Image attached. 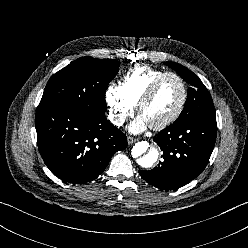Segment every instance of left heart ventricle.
Here are the masks:
<instances>
[{
  "label": "left heart ventricle",
  "mask_w": 248,
  "mask_h": 248,
  "mask_svg": "<svg viewBox=\"0 0 248 248\" xmlns=\"http://www.w3.org/2000/svg\"><path fill=\"white\" fill-rule=\"evenodd\" d=\"M182 89L174 77L165 78L159 85L153 98L143 108L141 115L149 125L158 123L170 116L179 106Z\"/></svg>",
  "instance_id": "1"
}]
</instances>
